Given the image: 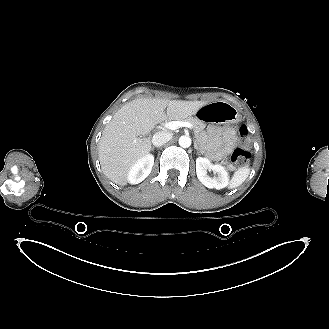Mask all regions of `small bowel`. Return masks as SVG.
I'll return each mask as SVG.
<instances>
[{
	"instance_id": "small-bowel-1",
	"label": "small bowel",
	"mask_w": 329,
	"mask_h": 329,
	"mask_svg": "<svg viewBox=\"0 0 329 329\" xmlns=\"http://www.w3.org/2000/svg\"><path fill=\"white\" fill-rule=\"evenodd\" d=\"M201 118V117H200ZM210 148L215 158L231 153L237 145L236 129L233 127L211 126L208 130Z\"/></svg>"
}]
</instances>
